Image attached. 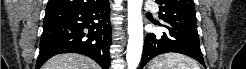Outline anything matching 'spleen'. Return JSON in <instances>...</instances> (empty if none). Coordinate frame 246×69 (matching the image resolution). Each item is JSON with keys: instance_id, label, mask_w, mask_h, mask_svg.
I'll use <instances>...</instances> for the list:
<instances>
[{"instance_id": "3e777b00", "label": "spleen", "mask_w": 246, "mask_h": 69, "mask_svg": "<svg viewBox=\"0 0 246 69\" xmlns=\"http://www.w3.org/2000/svg\"><path fill=\"white\" fill-rule=\"evenodd\" d=\"M152 69H200L196 61L177 53H166L154 60Z\"/></svg>"}]
</instances>
